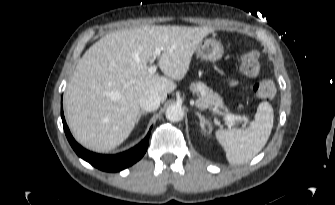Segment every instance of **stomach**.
Instances as JSON below:
<instances>
[{
    "instance_id": "stomach-1",
    "label": "stomach",
    "mask_w": 335,
    "mask_h": 205,
    "mask_svg": "<svg viewBox=\"0 0 335 205\" xmlns=\"http://www.w3.org/2000/svg\"><path fill=\"white\" fill-rule=\"evenodd\" d=\"M195 52L198 58L216 62L223 57L224 47L220 41L209 38L201 41Z\"/></svg>"
}]
</instances>
